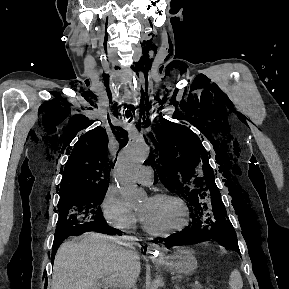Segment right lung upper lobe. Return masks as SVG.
Returning <instances> with one entry per match:
<instances>
[{"label": "right lung upper lobe", "instance_id": "1", "mask_svg": "<svg viewBox=\"0 0 289 289\" xmlns=\"http://www.w3.org/2000/svg\"><path fill=\"white\" fill-rule=\"evenodd\" d=\"M107 135L97 127L84 135L72 150L63 171L61 197L108 188L109 164L107 158Z\"/></svg>", "mask_w": 289, "mask_h": 289}]
</instances>
